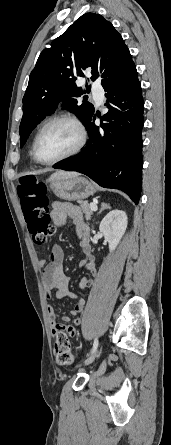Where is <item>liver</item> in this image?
<instances>
[{"label": "liver", "instance_id": "liver-1", "mask_svg": "<svg viewBox=\"0 0 171 445\" xmlns=\"http://www.w3.org/2000/svg\"><path fill=\"white\" fill-rule=\"evenodd\" d=\"M78 175L75 172H63V171H58L55 174H53V176H76Z\"/></svg>", "mask_w": 171, "mask_h": 445}]
</instances>
